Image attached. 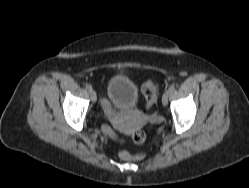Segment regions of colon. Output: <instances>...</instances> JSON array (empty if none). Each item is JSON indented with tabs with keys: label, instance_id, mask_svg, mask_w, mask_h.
<instances>
[{
	"label": "colon",
	"instance_id": "5ec220e1",
	"mask_svg": "<svg viewBox=\"0 0 249 188\" xmlns=\"http://www.w3.org/2000/svg\"><path fill=\"white\" fill-rule=\"evenodd\" d=\"M142 94L146 100V109H150L156 99V88L152 81H147L142 87ZM104 130L113 138H117V135L109 128L105 127ZM132 141L135 144H142L145 141V134L143 131H135L132 135ZM139 157L129 152L123 151L120 153V158L123 160H132Z\"/></svg>",
	"mask_w": 249,
	"mask_h": 188
}]
</instances>
